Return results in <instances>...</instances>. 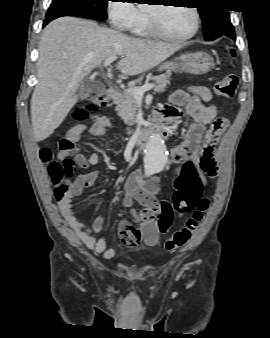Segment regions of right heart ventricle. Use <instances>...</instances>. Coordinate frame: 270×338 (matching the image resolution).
<instances>
[{
  "instance_id": "right-heart-ventricle-1",
  "label": "right heart ventricle",
  "mask_w": 270,
  "mask_h": 338,
  "mask_svg": "<svg viewBox=\"0 0 270 338\" xmlns=\"http://www.w3.org/2000/svg\"><path fill=\"white\" fill-rule=\"evenodd\" d=\"M144 17L145 20L142 23L132 26L129 30L137 35L150 37L152 35V32L149 27L148 16L144 14Z\"/></svg>"
}]
</instances>
